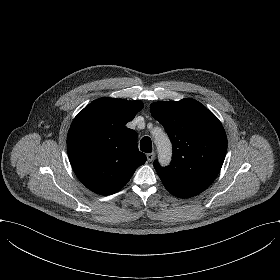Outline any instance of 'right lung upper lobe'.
<instances>
[{"label":"right lung upper lobe","instance_id":"right-lung-upper-lobe-1","mask_svg":"<svg viewBox=\"0 0 280 280\" xmlns=\"http://www.w3.org/2000/svg\"><path fill=\"white\" fill-rule=\"evenodd\" d=\"M143 108L139 100L100 98L73 120L67 151L78 179L100 195L118 192L145 163L137 133L125 126Z\"/></svg>","mask_w":280,"mask_h":280}]
</instances>
